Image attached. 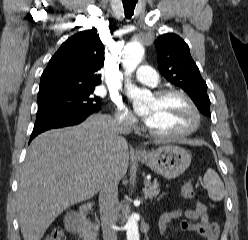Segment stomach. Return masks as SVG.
<instances>
[{"mask_svg":"<svg viewBox=\"0 0 248 240\" xmlns=\"http://www.w3.org/2000/svg\"><path fill=\"white\" fill-rule=\"evenodd\" d=\"M137 159L157 174L173 179L189 167L191 154L179 146L165 144L156 150L138 155Z\"/></svg>","mask_w":248,"mask_h":240,"instance_id":"stomach-1","label":"stomach"}]
</instances>
